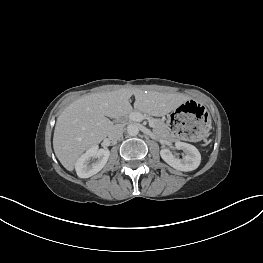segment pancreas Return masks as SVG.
I'll return each mask as SVG.
<instances>
[{
	"label": "pancreas",
	"instance_id": "pancreas-1",
	"mask_svg": "<svg viewBox=\"0 0 263 263\" xmlns=\"http://www.w3.org/2000/svg\"><path fill=\"white\" fill-rule=\"evenodd\" d=\"M138 113H141L146 118H148V119L153 121V123H154L153 131H154L155 134H157L161 138H165V139H170L171 138L170 129L167 126V124L164 123V121H162L160 119L152 118V117L148 116L147 114L139 112V111H138Z\"/></svg>",
	"mask_w": 263,
	"mask_h": 263
}]
</instances>
